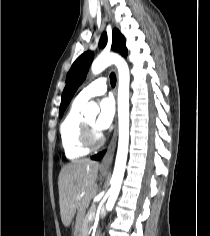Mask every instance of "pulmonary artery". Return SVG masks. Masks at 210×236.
Returning <instances> with one entry per match:
<instances>
[{"label": "pulmonary artery", "mask_w": 210, "mask_h": 236, "mask_svg": "<svg viewBox=\"0 0 210 236\" xmlns=\"http://www.w3.org/2000/svg\"><path fill=\"white\" fill-rule=\"evenodd\" d=\"M107 90V79L99 78L85 87L76 97L80 102L86 103L91 98L105 93Z\"/></svg>", "instance_id": "pulmonary-artery-1"}]
</instances>
